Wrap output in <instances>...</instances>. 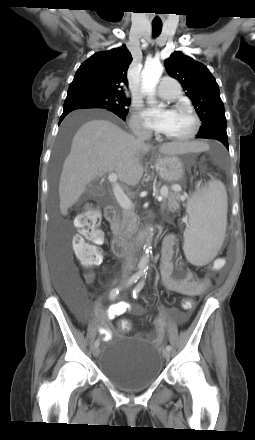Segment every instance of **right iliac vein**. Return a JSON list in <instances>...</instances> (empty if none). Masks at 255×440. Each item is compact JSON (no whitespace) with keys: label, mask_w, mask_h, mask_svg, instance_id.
Returning a JSON list of instances; mask_svg holds the SVG:
<instances>
[{"label":"right iliac vein","mask_w":255,"mask_h":440,"mask_svg":"<svg viewBox=\"0 0 255 440\" xmlns=\"http://www.w3.org/2000/svg\"><path fill=\"white\" fill-rule=\"evenodd\" d=\"M92 352H93L94 357H98L99 356L100 351H99L98 347H94Z\"/></svg>","instance_id":"1"}]
</instances>
